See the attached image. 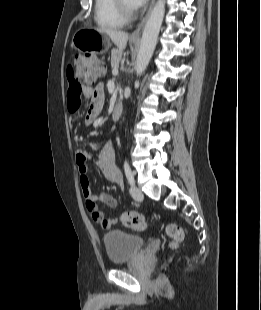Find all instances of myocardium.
I'll list each match as a JSON object with an SVG mask.
<instances>
[{"mask_svg":"<svg viewBox=\"0 0 261 310\" xmlns=\"http://www.w3.org/2000/svg\"><path fill=\"white\" fill-rule=\"evenodd\" d=\"M115 8L119 15L125 20H131L135 17L136 13L133 9L128 8L123 0H113Z\"/></svg>","mask_w":261,"mask_h":310,"instance_id":"f54148a6","label":"myocardium"}]
</instances>
